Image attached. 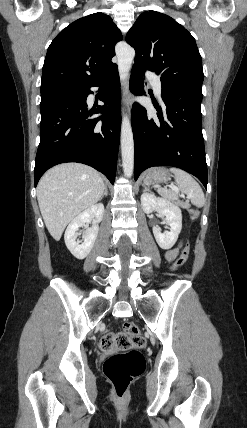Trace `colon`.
Masks as SVG:
<instances>
[{
    "mask_svg": "<svg viewBox=\"0 0 247 428\" xmlns=\"http://www.w3.org/2000/svg\"><path fill=\"white\" fill-rule=\"evenodd\" d=\"M197 214V211L192 212L194 218ZM189 255L190 246L187 245L181 251L173 269L178 270L184 266ZM145 345V338L141 335L138 327L131 322L125 323L119 332H106L102 336L100 340L101 349H128L126 352L111 355L103 365L104 374L112 384L117 397H123L132 381L143 372L144 358L139 350Z\"/></svg>",
    "mask_w": 247,
    "mask_h": 428,
    "instance_id": "obj_1",
    "label": "colon"
}]
</instances>
